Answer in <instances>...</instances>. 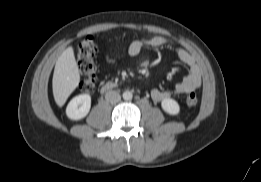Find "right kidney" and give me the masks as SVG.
Returning a JSON list of instances; mask_svg holds the SVG:
<instances>
[{
  "label": "right kidney",
  "instance_id": "1",
  "mask_svg": "<svg viewBox=\"0 0 261 182\" xmlns=\"http://www.w3.org/2000/svg\"><path fill=\"white\" fill-rule=\"evenodd\" d=\"M90 107L91 96L89 94H81L69 102L66 108V115L71 120H80L89 113Z\"/></svg>",
  "mask_w": 261,
  "mask_h": 182
}]
</instances>
